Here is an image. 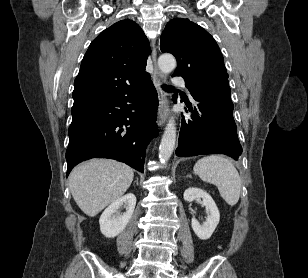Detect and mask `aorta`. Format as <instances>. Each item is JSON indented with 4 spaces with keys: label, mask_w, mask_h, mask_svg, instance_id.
Here are the masks:
<instances>
[{
    "label": "aorta",
    "mask_w": 308,
    "mask_h": 278,
    "mask_svg": "<svg viewBox=\"0 0 308 278\" xmlns=\"http://www.w3.org/2000/svg\"><path fill=\"white\" fill-rule=\"evenodd\" d=\"M158 66L160 71L167 75L176 68V60L174 56L170 54H163L158 59ZM176 141V126L175 120L171 117L165 127L160 147H159V159L161 163H165L171 157Z\"/></svg>",
    "instance_id": "aorta-1"
}]
</instances>
